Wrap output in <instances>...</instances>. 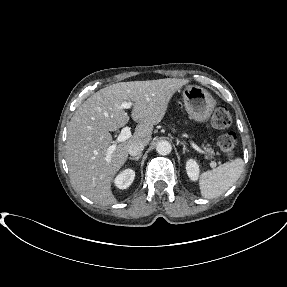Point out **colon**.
Listing matches in <instances>:
<instances>
[{
    "instance_id": "obj_1",
    "label": "colon",
    "mask_w": 287,
    "mask_h": 287,
    "mask_svg": "<svg viewBox=\"0 0 287 287\" xmlns=\"http://www.w3.org/2000/svg\"><path fill=\"white\" fill-rule=\"evenodd\" d=\"M232 124V116L228 109L224 106H217L211 118V125L215 129H225ZM218 147L221 153L226 157H232L236 151L237 136L230 131L222 134L218 138Z\"/></svg>"
}]
</instances>
